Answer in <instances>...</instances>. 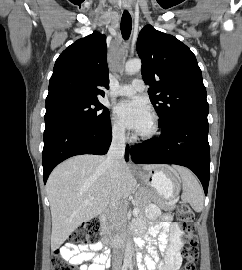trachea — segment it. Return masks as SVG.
Returning <instances> with one entry per match:
<instances>
[{
	"mask_svg": "<svg viewBox=\"0 0 242 270\" xmlns=\"http://www.w3.org/2000/svg\"><path fill=\"white\" fill-rule=\"evenodd\" d=\"M131 29H132L131 15L127 10H125L121 18V33L124 40H127L129 38L131 34Z\"/></svg>",
	"mask_w": 242,
	"mask_h": 270,
	"instance_id": "obj_1",
	"label": "trachea"
}]
</instances>
